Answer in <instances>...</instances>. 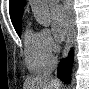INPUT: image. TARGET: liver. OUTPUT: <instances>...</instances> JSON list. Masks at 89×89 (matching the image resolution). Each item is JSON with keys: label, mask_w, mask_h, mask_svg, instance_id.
<instances>
[{"label": "liver", "mask_w": 89, "mask_h": 89, "mask_svg": "<svg viewBox=\"0 0 89 89\" xmlns=\"http://www.w3.org/2000/svg\"><path fill=\"white\" fill-rule=\"evenodd\" d=\"M54 80L47 76H33L26 79L24 89H55Z\"/></svg>", "instance_id": "obj_1"}]
</instances>
